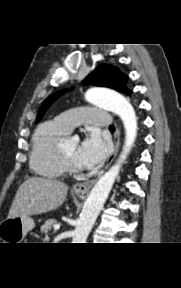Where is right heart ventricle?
I'll return each mask as SVG.
<instances>
[{"instance_id": "right-heart-ventricle-1", "label": "right heart ventricle", "mask_w": 181, "mask_h": 288, "mask_svg": "<svg viewBox=\"0 0 181 288\" xmlns=\"http://www.w3.org/2000/svg\"><path fill=\"white\" fill-rule=\"evenodd\" d=\"M68 134L56 120L42 123L32 138L30 167L38 175L57 179L67 170L60 157V142Z\"/></svg>"}]
</instances>
